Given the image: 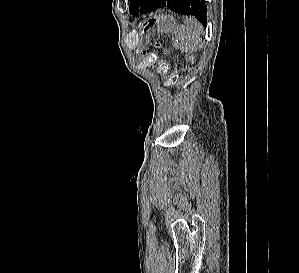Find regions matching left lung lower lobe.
<instances>
[{"instance_id":"obj_1","label":"left lung lower lobe","mask_w":299,"mask_h":273,"mask_svg":"<svg viewBox=\"0 0 299 273\" xmlns=\"http://www.w3.org/2000/svg\"><path fill=\"white\" fill-rule=\"evenodd\" d=\"M163 6L177 13L193 15L204 27L206 26L207 9L204 0H146L140 13H148Z\"/></svg>"}]
</instances>
